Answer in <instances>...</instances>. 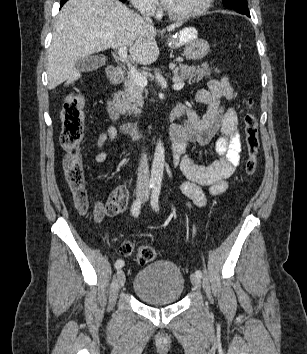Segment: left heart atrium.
<instances>
[{
  "mask_svg": "<svg viewBox=\"0 0 307 354\" xmlns=\"http://www.w3.org/2000/svg\"><path fill=\"white\" fill-rule=\"evenodd\" d=\"M160 2L164 7L167 8L170 5L171 0H160Z\"/></svg>",
  "mask_w": 307,
  "mask_h": 354,
  "instance_id": "obj_1",
  "label": "left heart atrium"
}]
</instances>
